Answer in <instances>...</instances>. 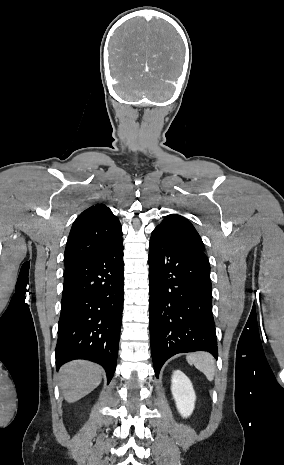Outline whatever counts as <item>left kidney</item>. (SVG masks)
Returning <instances> with one entry per match:
<instances>
[{"instance_id":"left-kidney-1","label":"left kidney","mask_w":284,"mask_h":465,"mask_svg":"<svg viewBox=\"0 0 284 465\" xmlns=\"http://www.w3.org/2000/svg\"><path fill=\"white\" fill-rule=\"evenodd\" d=\"M171 391L181 417H190L195 409L196 395L192 383L182 371H174Z\"/></svg>"}]
</instances>
